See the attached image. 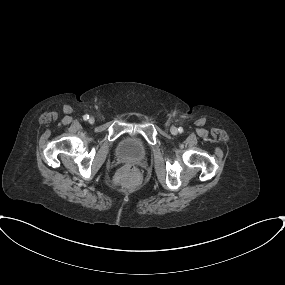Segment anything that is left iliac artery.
<instances>
[{
    "label": "left iliac artery",
    "instance_id": "44dca946",
    "mask_svg": "<svg viewBox=\"0 0 285 285\" xmlns=\"http://www.w3.org/2000/svg\"><path fill=\"white\" fill-rule=\"evenodd\" d=\"M178 131H179V132H182V131H183V129H182L181 127H179V128H178Z\"/></svg>",
    "mask_w": 285,
    "mask_h": 285
}]
</instances>
